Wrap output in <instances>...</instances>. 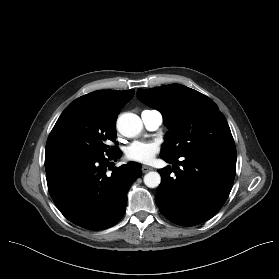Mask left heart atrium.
<instances>
[{"label": "left heart atrium", "mask_w": 279, "mask_h": 279, "mask_svg": "<svg viewBox=\"0 0 279 279\" xmlns=\"http://www.w3.org/2000/svg\"><path fill=\"white\" fill-rule=\"evenodd\" d=\"M159 151L155 142L135 141L127 146L125 156L128 160L140 163H150Z\"/></svg>", "instance_id": "obj_1"}]
</instances>
